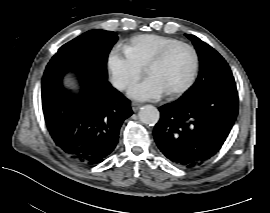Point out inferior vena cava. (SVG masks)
I'll use <instances>...</instances> for the list:
<instances>
[{"label":"inferior vena cava","mask_w":270,"mask_h":213,"mask_svg":"<svg viewBox=\"0 0 270 213\" xmlns=\"http://www.w3.org/2000/svg\"><path fill=\"white\" fill-rule=\"evenodd\" d=\"M125 86H126V83H125V82H116V83H115V87H116L117 89H119V90L124 89Z\"/></svg>","instance_id":"602c4592"}]
</instances>
